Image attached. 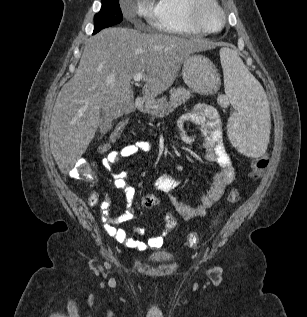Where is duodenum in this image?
<instances>
[{
	"label": "duodenum",
	"instance_id": "1",
	"mask_svg": "<svg viewBox=\"0 0 307 317\" xmlns=\"http://www.w3.org/2000/svg\"><path fill=\"white\" fill-rule=\"evenodd\" d=\"M146 106V101L144 98H138L136 100V110L140 111L142 109H144Z\"/></svg>",
	"mask_w": 307,
	"mask_h": 317
}]
</instances>
